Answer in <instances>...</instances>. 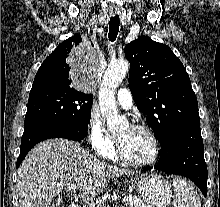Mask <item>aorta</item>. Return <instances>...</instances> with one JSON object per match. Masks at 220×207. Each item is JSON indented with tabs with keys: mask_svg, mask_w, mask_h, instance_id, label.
I'll use <instances>...</instances> for the list:
<instances>
[{
	"mask_svg": "<svg viewBox=\"0 0 220 207\" xmlns=\"http://www.w3.org/2000/svg\"><path fill=\"white\" fill-rule=\"evenodd\" d=\"M128 71L129 63L126 61L111 63L102 78L98 98L100 110L107 120L109 131H116L127 122L125 118L118 114L115 91Z\"/></svg>",
	"mask_w": 220,
	"mask_h": 207,
	"instance_id": "1",
	"label": "aorta"
}]
</instances>
